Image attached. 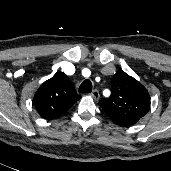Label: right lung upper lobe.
<instances>
[{"mask_svg": "<svg viewBox=\"0 0 171 171\" xmlns=\"http://www.w3.org/2000/svg\"><path fill=\"white\" fill-rule=\"evenodd\" d=\"M80 98L70 79L64 73L58 72L39 87L33 103L40 116L45 119H55L64 114Z\"/></svg>", "mask_w": 171, "mask_h": 171, "instance_id": "1", "label": "right lung upper lobe"}]
</instances>
